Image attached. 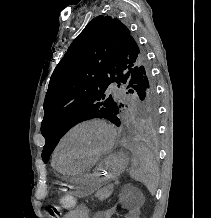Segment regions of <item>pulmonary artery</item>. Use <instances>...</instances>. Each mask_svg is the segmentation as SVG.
<instances>
[{
	"instance_id": "1",
	"label": "pulmonary artery",
	"mask_w": 211,
	"mask_h": 218,
	"mask_svg": "<svg viewBox=\"0 0 211 218\" xmlns=\"http://www.w3.org/2000/svg\"><path fill=\"white\" fill-rule=\"evenodd\" d=\"M108 95H121V87L119 84H106Z\"/></svg>"
}]
</instances>
